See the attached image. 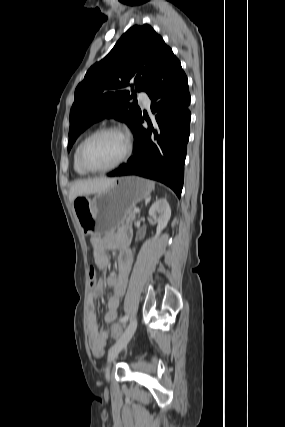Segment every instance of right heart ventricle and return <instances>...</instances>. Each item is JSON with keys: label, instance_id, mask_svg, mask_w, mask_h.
<instances>
[{"label": "right heart ventricle", "instance_id": "1", "mask_svg": "<svg viewBox=\"0 0 285 427\" xmlns=\"http://www.w3.org/2000/svg\"><path fill=\"white\" fill-rule=\"evenodd\" d=\"M93 133L92 131L86 133L81 140L78 142V144L75 147L74 153H73V166H74V170L76 171V173H78L79 175H86L88 174V172H86L79 164L78 161V152H79V148L82 144V142L91 134Z\"/></svg>", "mask_w": 285, "mask_h": 427}]
</instances>
